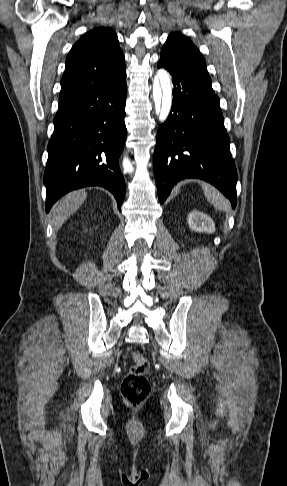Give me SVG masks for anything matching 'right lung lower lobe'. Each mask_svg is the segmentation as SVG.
<instances>
[{
  "label": "right lung lower lobe",
  "mask_w": 287,
  "mask_h": 486,
  "mask_svg": "<svg viewBox=\"0 0 287 486\" xmlns=\"http://www.w3.org/2000/svg\"><path fill=\"white\" fill-rule=\"evenodd\" d=\"M126 78L59 105L44 173L46 212L67 192L102 186L121 208L125 181L118 160L127 138Z\"/></svg>",
  "instance_id": "98d812e1"
}]
</instances>
